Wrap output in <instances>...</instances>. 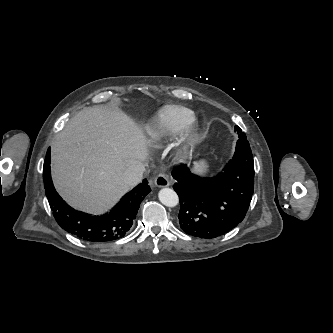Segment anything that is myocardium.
Masks as SVG:
<instances>
[{
    "label": "myocardium",
    "instance_id": "1",
    "mask_svg": "<svg viewBox=\"0 0 333 333\" xmlns=\"http://www.w3.org/2000/svg\"><path fill=\"white\" fill-rule=\"evenodd\" d=\"M198 128L196 122L193 120L186 128L183 133V151H186L191 147L197 140Z\"/></svg>",
    "mask_w": 333,
    "mask_h": 333
}]
</instances>
